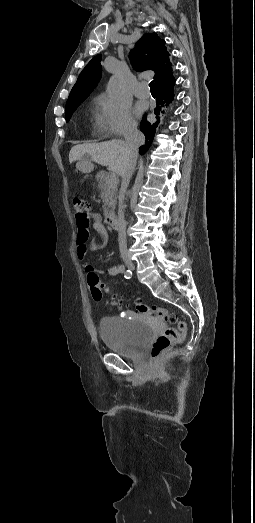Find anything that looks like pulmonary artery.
Wrapping results in <instances>:
<instances>
[{"instance_id":"obj_1","label":"pulmonary artery","mask_w":255,"mask_h":523,"mask_svg":"<svg viewBox=\"0 0 255 523\" xmlns=\"http://www.w3.org/2000/svg\"><path fill=\"white\" fill-rule=\"evenodd\" d=\"M134 95L139 98H148L151 95L149 84L145 81L139 82L134 89Z\"/></svg>"}]
</instances>
